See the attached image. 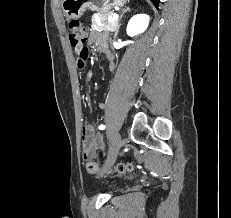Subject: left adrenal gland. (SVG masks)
<instances>
[{"label":"left adrenal gland","instance_id":"a2214340","mask_svg":"<svg viewBox=\"0 0 231 218\" xmlns=\"http://www.w3.org/2000/svg\"><path fill=\"white\" fill-rule=\"evenodd\" d=\"M127 12H130V8L129 7H126V8H123L122 9V13H121V15H120V19L123 17V15L125 14V13H127ZM120 19H119V21H120ZM120 23L118 24V26H117V28H116V30H115V34H114V37H116L117 35H118V30H119V28H120Z\"/></svg>","mask_w":231,"mask_h":218}]
</instances>
